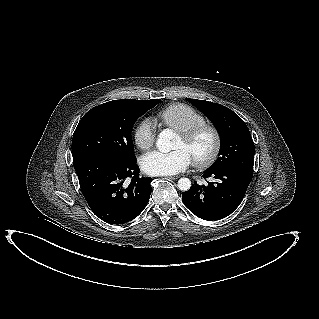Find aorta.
<instances>
[{"label": "aorta", "instance_id": "aorta-1", "mask_svg": "<svg viewBox=\"0 0 319 319\" xmlns=\"http://www.w3.org/2000/svg\"><path fill=\"white\" fill-rule=\"evenodd\" d=\"M175 134L171 129H164L158 135L156 146L160 152L167 153L173 149ZM178 188L187 191L191 188V181L188 178H180L178 180Z\"/></svg>", "mask_w": 319, "mask_h": 319}]
</instances>
